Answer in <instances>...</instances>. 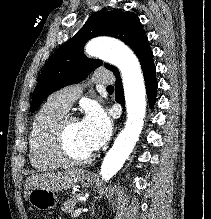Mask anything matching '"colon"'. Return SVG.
<instances>
[{
    "mask_svg": "<svg viewBox=\"0 0 211 219\" xmlns=\"http://www.w3.org/2000/svg\"><path fill=\"white\" fill-rule=\"evenodd\" d=\"M34 219H48V218L46 216L39 215V216H36Z\"/></svg>",
    "mask_w": 211,
    "mask_h": 219,
    "instance_id": "1",
    "label": "colon"
}]
</instances>
